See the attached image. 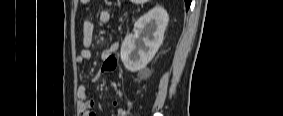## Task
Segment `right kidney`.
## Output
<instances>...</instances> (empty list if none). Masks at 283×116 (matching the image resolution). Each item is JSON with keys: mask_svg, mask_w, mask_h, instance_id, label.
I'll use <instances>...</instances> for the list:
<instances>
[{"mask_svg": "<svg viewBox=\"0 0 283 116\" xmlns=\"http://www.w3.org/2000/svg\"><path fill=\"white\" fill-rule=\"evenodd\" d=\"M168 20L164 8L156 6L135 22L133 33L121 46V60L128 71L137 72L153 59L163 42Z\"/></svg>", "mask_w": 283, "mask_h": 116, "instance_id": "ca27d5eb", "label": "right kidney"}]
</instances>
